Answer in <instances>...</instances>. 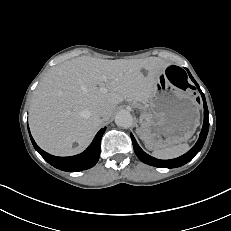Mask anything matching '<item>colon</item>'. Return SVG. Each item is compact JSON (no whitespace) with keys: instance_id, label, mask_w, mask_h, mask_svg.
I'll use <instances>...</instances> for the list:
<instances>
[{"instance_id":"1","label":"colon","mask_w":231,"mask_h":231,"mask_svg":"<svg viewBox=\"0 0 231 231\" xmlns=\"http://www.w3.org/2000/svg\"><path fill=\"white\" fill-rule=\"evenodd\" d=\"M168 75L171 82L179 89L187 90L189 83L187 81L184 71L176 66H170L168 68Z\"/></svg>"}]
</instances>
